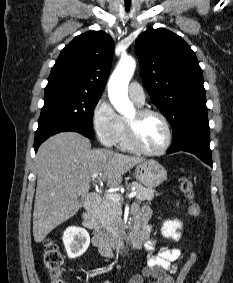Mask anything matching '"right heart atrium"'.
Masks as SVG:
<instances>
[{"instance_id":"d8ad5b80","label":"right heart atrium","mask_w":233,"mask_h":283,"mask_svg":"<svg viewBox=\"0 0 233 283\" xmlns=\"http://www.w3.org/2000/svg\"><path fill=\"white\" fill-rule=\"evenodd\" d=\"M92 125L101 144L110 147L117 143L121 117L105 98H100L92 111Z\"/></svg>"}]
</instances>
